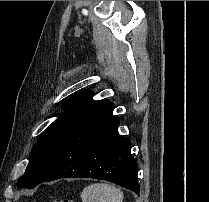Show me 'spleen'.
<instances>
[{
	"instance_id": "3e777b00",
	"label": "spleen",
	"mask_w": 209,
	"mask_h": 202,
	"mask_svg": "<svg viewBox=\"0 0 209 202\" xmlns=\"http://www.w3.org/2000/svg\"><path fill=\"white\" fill-rule=\"evenodd\" d=\"M81 199L83 202H122L123 192L110 184L94 183L83 189Z\"/></svg>"
}]
</instances>
